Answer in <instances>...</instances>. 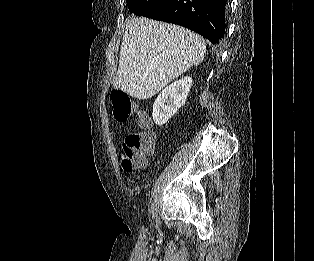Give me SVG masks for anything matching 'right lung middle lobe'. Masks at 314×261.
Listing matches in <instances>:
<instances>
[{
	"mask_svg": "<svg viewBox=\"0 0 314 261\" xmlns=\"http://www.w3.org/2000/svg\"><path fill=\"white\" fill-rule=\"evenodd\" d=\"M165 0H127L130 13L144 16L146 13L161 5Z\"/></svg>",
	"mask_w": 314,
	"mask_h": 261,
	"instance_id": "right-lung-middle-lobe-1",
	"label": "right lung middle lobe"
}]
</instances>
